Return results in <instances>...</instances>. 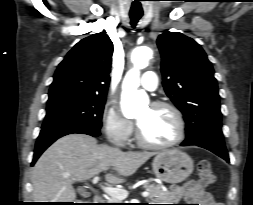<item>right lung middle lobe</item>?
<instances>
[{"instance_id":"1","label":"right lung middle lobe","mask_w":253,"mask_h":205,"mask_svg":"<svg viewBox=\"0 0 253 205\" xmlns=\"http://www.w3.org/2000/svg\"><path fill=\"white\" fill-rule=\"evenodd\" d=\"M106 97L67 96L47 102L42 129L64 126L100 130Z\"/></svg>"}]
</instances>
